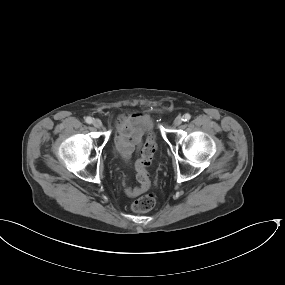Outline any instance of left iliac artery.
Returning <instances> with one entry per match:
<instances>
[{
  "label": "left iliac artery",
  "instance_id": "44dca946",
  "mask_svg": "<svg viewBox=\"0 0 285 285\" xmlns=\"http://www.w3.org/2000/svg\"><path fill=\"white\" fill-rule=\"evenodd\" d=\"M191 119V115L186 113L184 116H183V121H189Z\"/></svg>",
  "mask_w": 285,
  "mask_h": 285
}]
</instances>
